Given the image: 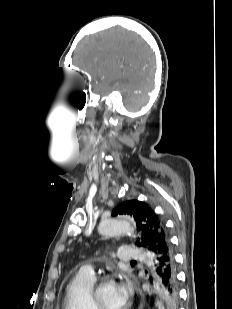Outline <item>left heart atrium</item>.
<instances>
[{"label": "left heart atrium", "mask_w": 232, "mask_h": 309, "mask_svg": "<svg viewBox=\"0 0 232 309\" xmlns=\"http://www.w3.org/2000/svg\"><path fill=\"white\" fill-rule=\"evenodd\" d=\"M119 290H120L122 301L124 303H127L128 296H129L128 288L123 284H119Z\"/></svg>", "instance_id": "39dd6f15"}]
</instances>
